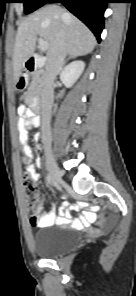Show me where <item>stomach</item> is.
I'll return each mask as SVG.
<instances>
[{"mask_svg": "<svg viewBox=\"0 0 136 296\" xmlns=\"http://www.w3.org/2000/svg\"><path fill=\"white\" fill-rule=\"evenodd\" d=\"M16 90H26V85H16Z\"/></svg>", "mask_w": 136, "mask_h": 296, "instance_id": "1", "label": "stomach"}]
</instances>
